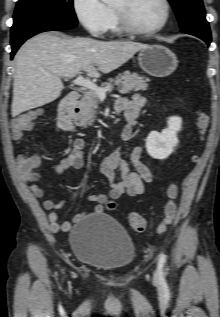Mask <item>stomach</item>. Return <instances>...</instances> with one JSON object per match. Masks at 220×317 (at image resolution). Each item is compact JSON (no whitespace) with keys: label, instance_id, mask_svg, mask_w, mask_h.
Here are the masks:
<instances>
[{"label":"stomach","instance_id":"obj_1","mask_svg":"<svg viewBox=\"0 0 220 317\" xmlns=\"http://www.w3.org/2000/svg\"><path fill=\"white\" fill-rule=\"evenodd\" d=\"M138 62L143 71L154 77H166L178 65L176 55L162 45H149L140 50Z\"/></svg>","mask_w":220,"mask_h":317}]
</instances>
